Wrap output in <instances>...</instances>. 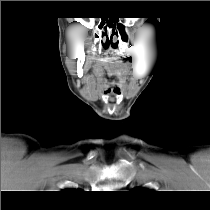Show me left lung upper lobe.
<instances>
[{
  "mask_svg": "<svg viewBox=\"0 0 210 210\" xmlns=\"http://www.w3.org/2000/svg\"><path fill=\"white\" fill-rule=\"evenodd\" d=\"M136 191H148V190H146V189H141V188H137V189H135Z\"/></svg>",
  "mask_w": 210,
  "mask_h": 210,
  "instance_id": "obj_1",
  "label": "left lung upper lobe"
}]
</instances>
